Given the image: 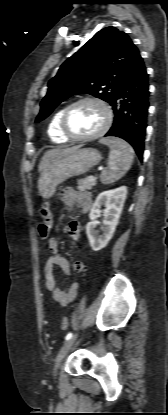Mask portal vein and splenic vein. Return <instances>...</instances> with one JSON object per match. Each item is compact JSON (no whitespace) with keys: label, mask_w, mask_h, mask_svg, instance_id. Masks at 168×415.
Listing matches in <instances>:
<instances>
[{"label":"portal vein and splenic vein","mask_w":168,"mask_h":415,"mask_svg":"<svg viewBox=\"0 0 168 415\" xmlns=\"http://www.w3.org/2000/svg\"><path fill=\"white\" fill-rule=\"evenodd\" d=\"M89 178H90V179H94V176L90 175V176H89Z\"/></svg>","instance_id":"obj_1"}]
</instances>
